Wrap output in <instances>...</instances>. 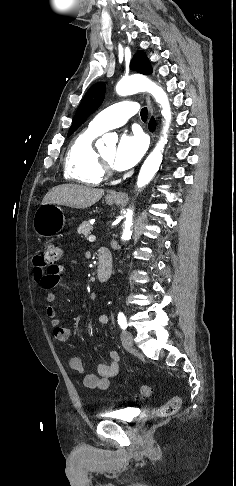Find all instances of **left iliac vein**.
Returning <instances> with one entry per match:
<instances>
[{"instance_id":"obj_1","label":"left iliac vein","mask_w":236,"mask_h":486,"mask_svg":"<svg viewBox=\"0 0 236 486\" xmlns=\"http://www.w3.org/2000/svg\"><path fill=\"white\" fill-rule=\"evenodd\" d=\"M122 345L125 349H132L134 344V339L132 333L124 330L121 334Z\"/></svg>"}]
</instances>
